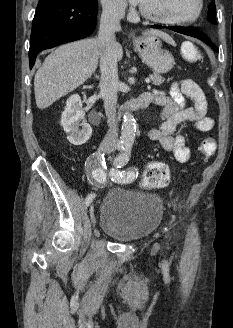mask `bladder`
<instances>
[{
	"mask_svg": "<svg viewBox=\"0 0 233 328\" xmlns=\"http://www.w3.org/2000/svg\"><path fill=\"white\" fill-rule=\"evenodd\" d=\"M162 217L158 196L113 189L102 200L98 210L101 231L124 242L140 240L154 231Z\"/></svg>",
	"mask_w": 233,
	"mask_h": 328,
	"instance_id": "1",
	"label": "bladder"
}]
</instances>
